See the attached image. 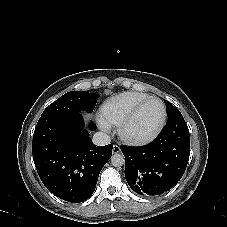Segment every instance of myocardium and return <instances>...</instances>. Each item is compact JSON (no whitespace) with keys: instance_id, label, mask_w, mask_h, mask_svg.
Wrapping results in <instances>:
<instances>
[{"instance_id":"1","label":"myocardium","mask_w":227,"mask_h":227,"mask_svg":"<svg viewBox=\"0 0 227 227\" xmlns=\"http://www.w3.org/2000/svg\"><path fill=\"white\" fill-rule=\"evenodd\" d=\"M151 101H157L161 104L162 106V118L160 120V122L158 123V125L149 133H147L146 135L143 136H134L132 134H130L129 129L131 128L132 124L135 122V120L138 118L139 114L141 113V111L143 110V108ZM166 120H167V108L165 103L158 97H152L150 96L149 98H147L146 100H144L143 102H141L120 124H119V128H118V133L120 138L130 144V145H134V146H139V145H144L147 144L149 142H151L152 140H154L158 134L161 132V130L163 129V127L166 124Z\"/></svg>"}]
</instances>
